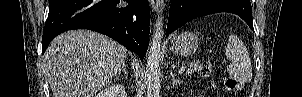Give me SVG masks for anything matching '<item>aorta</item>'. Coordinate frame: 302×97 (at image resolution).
<instances>
[{
    "label": "aorta",
    "instance_id": "1",
    "mask_svg": "<svg viewBox=\"0 0 302 97\" xmlns=\"http://www.w3.org/2000/svg\"><path fill=\"white\" fill-rule=\"evenodd\" d=\"M161 12V11H160ZM163 36L162 16L155 24L153 37L149 46L146 71L147 97H160V62Z\"/></svg>",
    "mask_w": 302,
    "mask_h": 97
}]
</instances>
